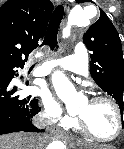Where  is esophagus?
<instances>
[{
  "label": "esophagus",
  "instance_id": "1",
  "mask_svg": "<svg viewBox=\"0 0 124 149\" xmlns=\"http://www.w3.org/2000/svg\"><path fill=\"white\" fill-rule=\"evenodd\" d=\"M58 2L65 8V10L67 12L69 11L70 5L67 0H59ZM50 132L52 134H58L60 132V130H59V128H57L55 126H50Z\"/></svg>",
  "mask_w": 124,
  "mask_h": 149
}]
</instances>
